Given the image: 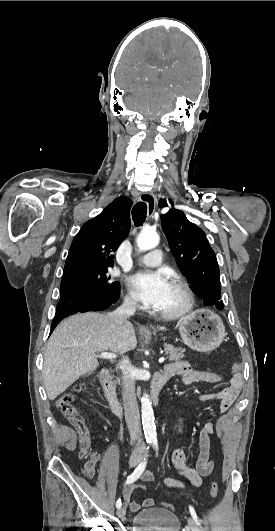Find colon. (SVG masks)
I'll use <instances>...</instances> for the list:
<instances>
[{"mask_svg": "<svg viewBox=\"0 0 275 531\" xmlns=\"http://www.w3.org/2000/svg\"><path fill=\"white\" fill-rule=\"evenodd\" d=\"M241 369V363L240 362H234L232 364V370L234 372H238ZM87 389V386L85 384H79L73 387L71 394H62L56 401L55 405L56 408L66 417V419L73 425V427L76 429L79 438H80V445H81V456H85L89 451L91 447V430L90 427L86 421V418L84 417L83 413L76 409L73 404V396L77 395L81 392H84ZM83 474L87 478H91L93 476V470L91 468V465H85L82 468ZM132 486H139L141 488V491L145 489V486L143 484H132ZM218 484L216 481H213L210 485V497L215 498L218 494ZM127 492V491H126ZM167 506V504H164Z\"/></svg>", "mask_w": 275, "mask_h": 531, "instance_id": "1", "label": "colon"}]
</instances>
